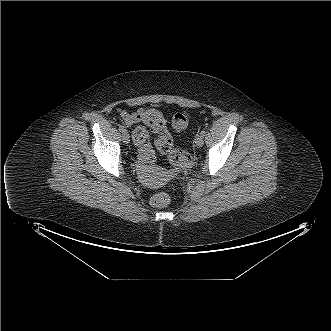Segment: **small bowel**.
<instances>
[{"label":"small bowel","mask_w":331,"mask_h":331,"mask_svg":"<svg viewBox=\"0 0 331 331\" xmlns=\"http://www.w3.org/2000/svg\"><path fill=\"white\" fill-rule=\"evenodd\" d=\"M145 109H139L135 112H127L122 111L120 114L122 122L125 124L126 127L130 128L133 125L139 124L143 122V112ZM139 128V127H138ZM136 128L133 131V141L136 146L139 147V160L142 164H147L153 161L154 159V152L153 149L148 142V134L142 136L137 133Z\"/></svg>","instance_id":"1"}]
</instances>
